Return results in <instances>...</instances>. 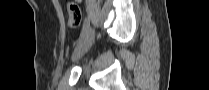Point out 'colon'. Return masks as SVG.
<instances>
[{
	"label": "colon",
	"instance_id": "colon-1",
	"mask_svg": "<svg viewBox=\"0 0 209 90\" xmlns=\"http://www.w3.org/2000/svg\"><path fill=\"white\" fill-rule=\"evenodd\" d=\"M68 23L71 27H77L81 22V11L75 2H69L67 6Z\"/></svg>",
	"mask_w": 209,
	"mask_h": 90
}]
</instances>
